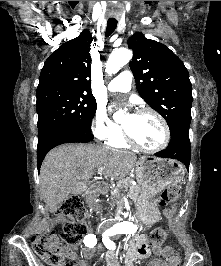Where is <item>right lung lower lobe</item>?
I'll use <instances>...</instances> for the list:
<instances>
[{
    "label": "right lung lower lobe",
    "mask_w": 221,
    "mask_h": 266,
    "mask_svg": "<svg viewBox=\"0 0 221 266\" xmlns=\"http://www.w3.org/2000/svg\"><path fill=\"white\" fill-rule=\"evenodd\" d=\"M93 138L94 137L91 133H86L77 129H63L48 135L42 141H38V146H37L38 172L44 157L55 146L71 142L86 143L93 140Z\"/></svg>",
    "instance_id": "1"
}]
</instances>
